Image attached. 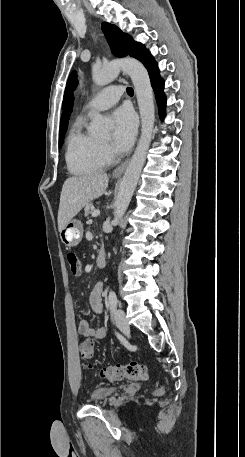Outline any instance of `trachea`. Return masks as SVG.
<instances>
[{
  "label": "trachea",
  "instance_id": "trachea-1",
  "mask_svg": "<svg viewBox=\"0 0 245 457\" xmlns=\"http://www.w3.org/2000/svg\"><path fill=\"white\" fill-rule=\"evenodd\" d=\"M127 93H128V95L132 96V95H133V93H134V90H133V88H131V87H127Z\"/></svg>",
  "mask_w": 245,
  "mask_h": 457
}]
</instances>
